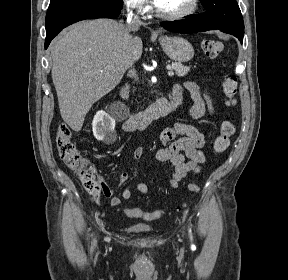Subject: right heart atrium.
<instances>
[{"label": "right heart atrium", "instance_id": "1", "mask_svg": "<svg viewBox=\"0 0 288 280\" xmlns=\"http://www.w3.org/2000/svg\"><path fill=\"white\" fill-rule=\"evenodd\" d=\"M124 4L129 12L140 15L147 13L150 9L147 0H124Z\"/></svg>", "mask_w": 288, "mask_h": 280}]
</instances>
